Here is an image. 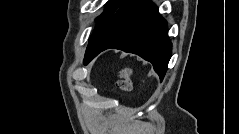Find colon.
<instances>
[{"instance_id": "obj_1", "label": "colon", "mask_w": 239, "mask_h": 134, "mask_svg": "<svg viewBox=\"0 0 239 134\" xmlns=\"http://www.w3.org/2000/svg\"><path fill=\"white\" fill-rule=\"evenodd\" d=\"M131 69L129 67L122 68L118 73V80L115 87L119 91H128L131 88Z\"/></svg>"}]
</instances>
